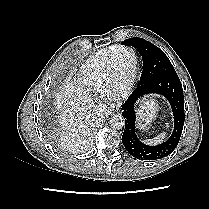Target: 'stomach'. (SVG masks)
I'll use <instances>...</instances> for the list:
<instances>
[{
    "instance_id": "obj_1",
    "label": "stomach",
    "mask_w": 209,
    "mask_h": 209,
    "mask_svg": "<svg viewBox=\"0 0 209 209\" xmlns=\"http://www.w3.org/2000/svg\"><path fill=\"white\" fill-rule=\"evenodd\" d=\"M158 113V104L150 98L141 102L138 108V128L148 129Z\"/></svg>"
}]
</instances>
